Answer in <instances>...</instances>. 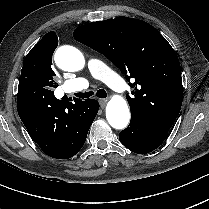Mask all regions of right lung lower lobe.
Returning <instances> with one entry per match:
<instances>
[{"label":"right lung lower lobe","instance_id":"obj_1","mask_svg":"<svg viewBox=\"0 0 209 209\" xmlns=\"http://www.w3.org/2000/svg\"><path fill=\"white\" fill-rule=\"evenodd\" d=\"M92 106L86 125L75 127L71 121L62 123L69 101L58 100L31 85H19L17 96L18 114L29 135L42 151L56 159H68L79 152L85 143L88 130L95 119L99 103L86 99Z\"/></svg>","mask_w":209,"mask_h":209}]
</instances>
